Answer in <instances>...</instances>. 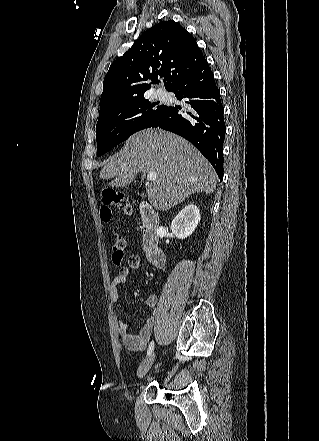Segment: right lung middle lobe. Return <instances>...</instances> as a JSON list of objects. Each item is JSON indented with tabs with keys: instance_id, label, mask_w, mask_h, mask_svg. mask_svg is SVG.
Masks as SVG:
<instances>
[{
	"instance_id": "obj_1",
	"label": "right lung middle lobe",
	"mask_w": 319,
	"mask_h": 441,
	"mask_svg": "<svg viewBox=\"0 0 319 441\" xmlns=\"http://www.w3.org/2000/svg\"><path fill=\"white\" fill-rule=\"evenodd\" d=\"M164 108V105L141 98L100 111L96 125L97 156L125 141L133 133L152 127Z\"/></svg>"
}]
</instances>
